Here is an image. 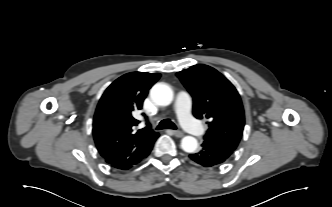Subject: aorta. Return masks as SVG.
I'll list each match as a JSON object with an SVG mask.
<instances>
[{
	"label": "aorta",
	"mask_w": 332,
	"mask_h": 207,
	"mask_svg": "<svg viewBox=\"0 0 332 207\" xmlns=\"http://www.w3.org/2000/svg\"><path fill=\"white\" fill-rule=\"evenodd\" d=\"M151 99L160 106H167L173 100V91L165 83H156L150 90ZM181 148L187 153H193L198 148L197 139L192 136H185L181 140Z\"/></svg>",
	"instance_id": "762f6f07"
}]
</instances>
